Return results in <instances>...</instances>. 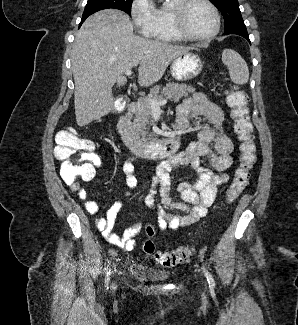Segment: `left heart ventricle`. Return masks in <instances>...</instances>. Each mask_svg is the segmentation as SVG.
Instances as JSON below:
<instances>
[{"mask_svg": "<svg viewBox=\"0 0 298 325\" xmlns=\"http://www.w3.org/2000/svg\"><path fill=\"white\" fill-rule=\"evenodd\" d=\"M184 29L192 36L207 37L214 29V19L209 11L201 4H191L182 16Z\"/></svg>", "mask_w": 298, "mask_h": 325, "instance_id": "obj_1", "label": "left heart ventricle"}]
</instances>
